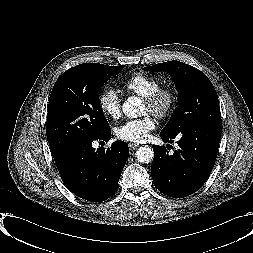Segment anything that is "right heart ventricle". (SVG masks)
Instances as JSON below:
<instances>
[{
  "instance_id": "1",
  "label": "right heart ventricle",
  "mask_w": 253,
  "mask_h": 253,
  "mask_svg": "<svg viewBox=\"0 0 253 253\" xmlns=\"http://www.w3.org/2000/svg\"><path fill=\"white\" fill-rule=\"evenodd\" d=\"M161 85L157 78L139 72L124 83V88L131 94L145 98L158 90Z\"/></svg>"
}]
</instances>
